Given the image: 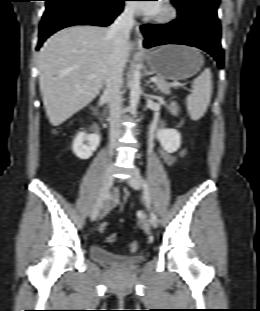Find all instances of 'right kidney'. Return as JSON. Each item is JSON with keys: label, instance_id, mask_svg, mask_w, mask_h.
Segmentation results:
<instances>
[{"label": "right kidney", "instance_id": "ca27d5eb", "mask_svg": "<svg viewBox=\"0 0 260 311\" xmlns=\"http://www.w3.org/2000/svg\"><path fill=\"white\" fill-rule=\"evenodd\" d=\"M87 144H84V142ZM100 142V137L97 134H86L85 132H79L73 141V152L82 160L90 158L93 152L96 150Z\"/></svg>", "mask_w": 260, "mask_h": 311}]
</instances>
